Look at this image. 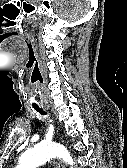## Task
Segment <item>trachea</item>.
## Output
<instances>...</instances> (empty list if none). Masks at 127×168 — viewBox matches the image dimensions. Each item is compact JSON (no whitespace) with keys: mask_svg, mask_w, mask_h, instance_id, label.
Masks as SVG:
<instances>
[{"mask_svg":"<svg viewBox=\"0 0 127 168\" xmlns=\"http://www.w3.org/2000/svg\"><path fill=\"white\" fill-rule=\"evenodd\" d=\"M33 108L37 111V112H39L41 115H45L46 113L41 109V108H39L38 106H33Z\"/></svg>","mask_w":127,"mask_h":168,"instance_id":"1","label":"trachea"}]
</instances>
